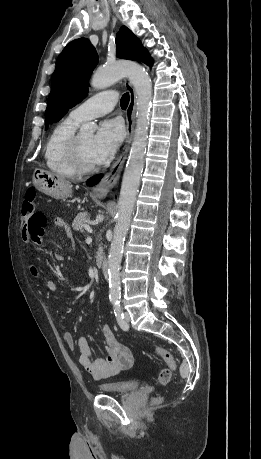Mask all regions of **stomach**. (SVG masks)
Here are the masks:
<instances>
[{"label": "stomach", "instance_id": "1", "mask_svg": "<svg viewBox=\"0 0 261 459\" xmlns=\"http://www.w3.org/2000/svg\"><path fill=\"white\" fill-rule=\"evenodd\" d=\"M35 188L55 199H66L72 196L70 183L62 176L41 169L33 172Z\"/></svg>", "mask_w": 261, "mask_h": 459}]
</instances>
